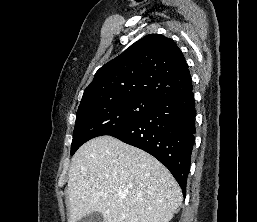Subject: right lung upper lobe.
<instances>
[{
	"label": "right lung upper lobe",
	"instance_id": "obj_1",
	"mask_svg": "<svg viewBox=\"0 0 257 222\" xmlns=\"http://www.w3.org/2000/svg\"><path fill=\"white\" fill-rule=\"evenodd\" d=\"M191 88L188 65L176 43L162 35L149 34L96 72L80 104L96 98L136 96L160 102Z\"/></svg>",
	"mask_w": 257,
	"mask_h": 222
}]
</instances>
